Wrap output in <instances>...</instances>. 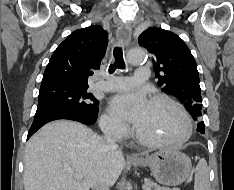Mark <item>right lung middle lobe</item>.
<instances>
[{"label":"right lung middle lobe","mask_w":234,"mask_h":190,"mask_svg":"<svg viewBox=\"0 0 234 190\" xmlns=\"http://www.w3.org/2000/svg\"><path fill=\"white\" fill-rule=\"evenodd\" d=\"M88 86L73 85L64 82L41 84L39 103L34 119L42 114L57 109L71 110L89 116L98 112L96 98L87 93Z\"/></svg>","instance_id":"right-lung-middle-lobe-1"}]
</instances>
